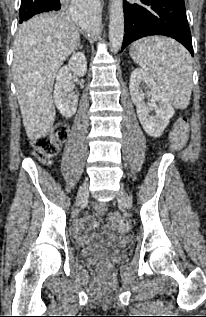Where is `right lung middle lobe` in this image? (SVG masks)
<instances>
[{
    "instance_id": "1",
    "label": "right lung middle lobe",
    "mask_w": 206,
    "mask_h": 317,
    "mask_svg": "<svg viewBox=\"0 0 206 317\" xmlns=\"http://www.w3.org/2000/svg\"><path fill=\"white\" fill-rule=\"evenodd\" d=\"M40 1L44 0H21V7L19 11L20 23L28 20L32 16L43 13V12H55V11H63L66 9L68 5V0H61L57 5L51 7H45Z\"/></svg>"
}]
</instances>
